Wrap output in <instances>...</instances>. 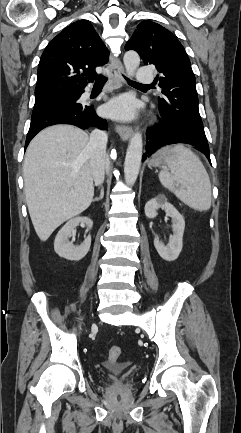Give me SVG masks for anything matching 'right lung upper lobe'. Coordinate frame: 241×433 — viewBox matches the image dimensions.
<instances>
[{"instance_id":"obj_1","label":"right lung upper lobe","mask_w":241,"mask_h":433,"mask_svg":"<svg viewBox=\"0 0 241 433\" xmlns=\"http://www.w3.org/2000/svg\"><path fill=\"white\" fill-rule=\"evenodd\" d=\"M108 61V50L93 26L79 20L63 29L44 50L35 96L83 90L95 76V68Z\"/></svg>"}]
</instances>
